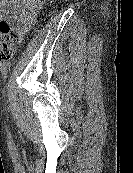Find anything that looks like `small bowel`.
I'll return each instance as SVG.
<instances>
[{
    "mask_svg": "<svg viewBox=\"0 0 133 173\" xmlns=\"http://www.w3.org/2000/svg\"><path fill=\"white\" fill-rule=\"evenodd\" d=\"M43 0H0V21L9 19L22 38L33 26Z\"/></svg>",
    "mask_w": 133,
    "mask_h": 173,
    "instance_id": "small-bowel-1",
    "label": "small bowel"
}]
</instances>
